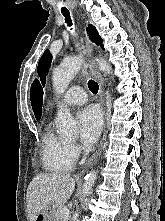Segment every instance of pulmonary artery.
Returning <instances> with one entry per match:
<instances>
[{"mask_svg":"<svg viewBox=\"0 0 165 221\" xmlns=\"http://www.w3.org/2000/svg\"><path fill=\"white\" fill-rule=\"evenodd\" d=\"M87 100L84 89L80 86H72L63 96V103L68 106L81 105Z\"/></svg>","mask_w":165,"mask_h":221,"instance_id":"1","label":"pulmonary artery"}]
</instances>
